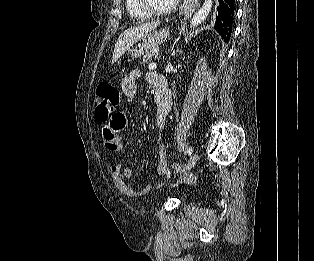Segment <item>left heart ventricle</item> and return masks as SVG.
Wrapping results in <instances>:
<instances>
[{"label":"left heart ventricle","mask_w":314,"mask_h":261,"mask_svg":"<svg viewBox=\"0 0 314 261\" xmlns=\"http://www.w3.org/2000/svg\"><path fill=\"white\" fill-rule=\"evenodd\" d=\"M152 5L156 8L163 9L168 7L173 0H150Z\"/></svg>","instance_id":"left-heart-ventricle-1"}]
</instances>
